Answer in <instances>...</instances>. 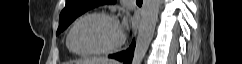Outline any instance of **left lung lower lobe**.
I'll return each mask as SVG.
<instances>
[{"instance_id": "obj_1", "label": "left lung lower lobe", "mask_w": 242, "mask_h": 64, "mask_svg": "<svg viewBox=\"0 0 242 64\" xmlns=\"http://www.w3.org/2000/svg\"><path fill=\"white\" fill-rule=\"evenodd\" d=\"M135 43L134 40L130 47L126 51H122L116 54L109 55L110 58L116 59L120 62H123V64H130L133 58Z\"/></svg>"}]
</instances>
